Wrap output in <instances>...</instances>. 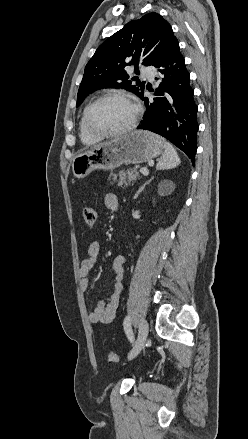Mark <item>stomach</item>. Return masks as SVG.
I'll return each mask as SVG.
<instances>
[{
  "label": "stomach",
  "instance_id": "stomach-1",
  "mask_svg": "<svg viewBox=\"0 0 248 439\" xmlns=\"http://www.w3.org/2000/svg\"><path fill=\"white\" fill-rule=\"evenodd\" d=\"M166 142L147 131H134L78 153L72 161L74 177L83 179L96 169L113 170L122 164H138L163 154Z\"/></svg>",
  "mask_w": 248,
  "mask_h": 439
}]
</instances>
